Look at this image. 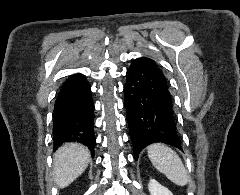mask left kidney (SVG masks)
Segmentation results:
<instances>
[{"mask_svg": "<svg viewBox=\"0 0 240 195\" xmlns=\"http://www.w3.org/2000/svg\"><path fill=\"white\" fill-rule=\"evenodd\" d=\"M148 189L150 195H173L168 187H164V185H161L156 179H150Z\"/></svg>", "mask_w": 240, "mask_h": 195, "instance_id": "5707ae66", "label": "left kidney"}]
</instances>
